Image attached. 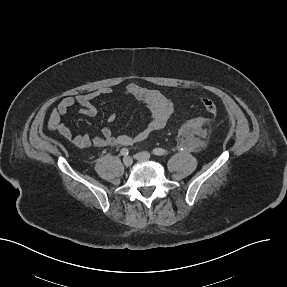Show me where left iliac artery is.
I'll return each mask as SVG.
<instances>
[{"mask_svg":"<svg viewBox=\"0 0 287 287\" xmlns=\"http://www.w3.org/2000/svg\"><path fill=\"white\" fill-rule=\"evenodd\" d=\"M154 155L156 156H162V155H166L167 154V151L162 149V148H156L153 150L152 152Z\"/></svg>","mask_w":287,"mask_h":287,"instance_id":"44dca946","label":"left iliac artery"}]
</instances>
